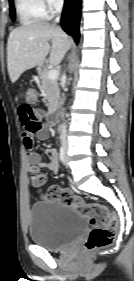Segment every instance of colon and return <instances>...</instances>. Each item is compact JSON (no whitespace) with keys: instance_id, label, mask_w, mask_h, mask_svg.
I'll use <instances>...</instances> for the list:
<instances>
[{"instance_id":"obj_1","label":"colon","mask_w":134,"mask_h":281,"mask_svg":"<svg viewBox=\"0 0 134 281\" xmlns=\"http://www.w3.org/2000/svg\"><path fill=\"white\" fill-rule=\"evenodd\" d=\"M37 101V91L34 88L27 89L25 102L34 105ZM44 180V176L38 169L30 171V181L34 186H42ZM45 197L48 200L57 201L74 207L88 218L92 229L84 243V247L87 251H94L113 243L116 236L118 221L116 216L106 206L100 203H87L77 197L72 191L58 186H52L47 189Z\"/></svg>"}]
</instances>
